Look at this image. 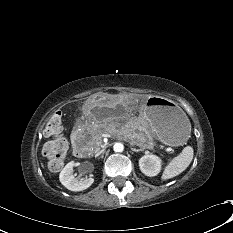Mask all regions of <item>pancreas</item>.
<instances>
[{"label": "pancreas", "mask_w": 233, "mask_h": 233, "mask_svg": "<svg viewBox=\"0 0 233 233\" xmlns=\"http://www.w3.org/2000/svg\"><path fill=\"white\" fill-rule=\"evenodd\" d=\"M91 139L88 142V146L92 152H97L103 146L102 134L110 131L115 134L114 123L103 124H89L87 126ZM118 136L126 141H129L133 145L140 146L141 148L153 149L155 146L153 140V134L150 132L148 124L145 120L136 118L132 121L130 130L125 132L124 136L118 134Z\"/></svg>", "instance_id": "1"}]
</instances>
